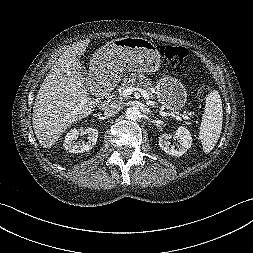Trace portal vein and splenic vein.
Wrapping results in <instances>:
<instances>
[{"instance_id": "1", "label": "portal vein and splenic vein", "mask_w": 253, "mask_h": 253, "mask_svg": "<svg viewBox=\"0 0 253 253\" xmlns=\"http://www.w3.org/2000/svg\"><path fill=\"white\" fill-rule=\"evenodd\" d=\"M136 91H137V92H140L141 95H142L145 99H149V94H148L144 89L138 88V87L129 86V87L125 88V89L123 90L122 93H123V96H129V95H131L133 92H136ZM181 118H184V119H187V120L190 119L189 116L184 115V114H180V115H177V116H176V119H177V120H180Z\"/></svg>"}]
</instances>
